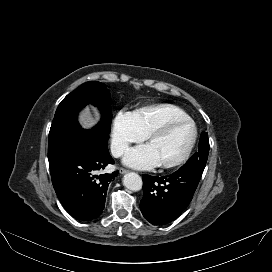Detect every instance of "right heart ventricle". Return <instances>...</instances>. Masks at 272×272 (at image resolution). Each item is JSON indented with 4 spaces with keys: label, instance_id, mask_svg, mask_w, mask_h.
<instances>
[{
    "label": "right heart ventricle",
    "instance_id": "e07e8e85",
    "mask_svg": "<svg viewBox=\"0 0 272 272\" xmlns=\"http://www.w3.org/2000/svg\"><path fill=\"white\" fill-rule=\"evenodd\" d=\"M133 117L140 133L146 136L150 131L169 120L189 116L176 105L161 103L144 106L133 112Z\"/></svg>",
    "mask_w": 272,
    "mask_h": 272
}]
</instances>
